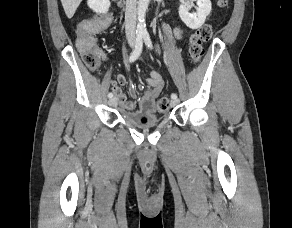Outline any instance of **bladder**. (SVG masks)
I'll list each match as a JSON object with an SVG mask.
<instances>
[{"instance_id":"31cf9c89","label":"bladder","mask_w":292,"mask_h":228,"mask_svg":"<svg viewBox=\"0 0 292 228\" xmlns=\"http://www.w3.org/2000/svg\"><path fill=\"white\" fill-rule=\"evenodd\" d=\"M124 119L131 125L139 128H149L156 126L160 121V117L152 114H125Z\"/></svg>"}]
</instances>
